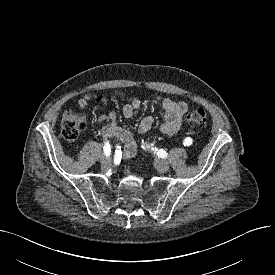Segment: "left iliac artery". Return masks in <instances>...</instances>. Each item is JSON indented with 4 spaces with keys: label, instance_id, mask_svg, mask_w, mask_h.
I'll return each instance as SVG.
<instances>
[{
    "label": "left iliac artery",
    "instance_id": "44dca946",
    "mask_svg": "<svg viewBox=\"0 0 275 275\" xmlns=\"http://www.w3.org/2000/svg\"><path fill=\"white\" fill-rule=\"evenodd\" d=\"M192 143H193V140H192V138H190V137H186V138L183 140V145H184V146H190V145H192Z\"/></svg>",
    "mask_w": 275,
    "mask_h": 275
}]
</instances>
